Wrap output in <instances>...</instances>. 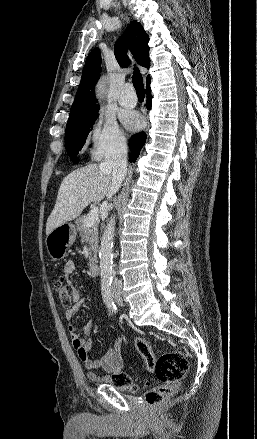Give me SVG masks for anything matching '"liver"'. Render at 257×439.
Returning <instances> with one entry per match:
<instances>
[{
  "label": "liver",
  "instance_id": "1",
  "mask_svg": "<svg viewBox=\"0 0 257 439\" xmlns=\"http://www.w3.org/2000/svg\"><path fill=\"white\" fill-rule=\"evenodd\" d=\"M112 186V168L104 162L89 164L67 175L59 188L56 204L47 219L46 234L74 220L91 202H100Z\"/></svg>",
  "mask_w": 257,
  "mask_h": 439
}]
</instances>
